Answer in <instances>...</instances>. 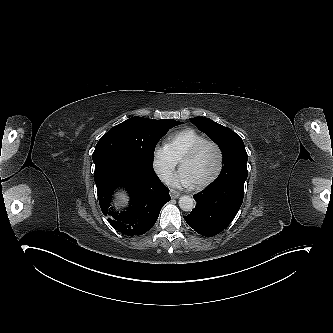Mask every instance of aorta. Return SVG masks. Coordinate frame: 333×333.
Here are the masks:
<instances>
[{
  "mask_svg": "<svg viewBox=\"0 0 333 333\" xmlns=\"http://www.w3.org/2000/svg\"><path fill=\"white\" fill-rule=\"evenodd\" d=\"M179 207L183 211H191L195 207V201L192 197L188 195L181 196L179 199Z\"/></svg>",
  "mask_w": 333,
  "mask_h": 333,
  "instance_id": "obj_1",
  "label": "aorta"
}]
</instances>
